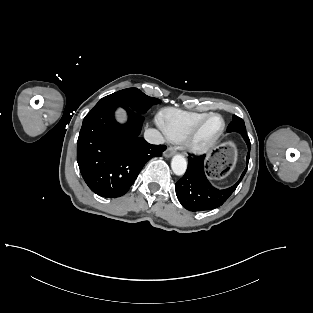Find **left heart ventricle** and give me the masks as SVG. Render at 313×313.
<instances>
[{
	"instance_id": "left-heart-ventricle-1",
	"label": "left heart ventricle",
	"mask_w": 313,
	"mask_h": 313,
	"mask_svg": "<svg viewBox=\"0 0 313 313\" xmlns=\"http://www.w3.org/2000/svg\"><path fill=\"white\" fill-rule=\"evenodd\" d=\"M222 122L219 117H212L200 130L197 141L201 144L210 141L221 129Z\"/></svg>"
}]
</instances>
